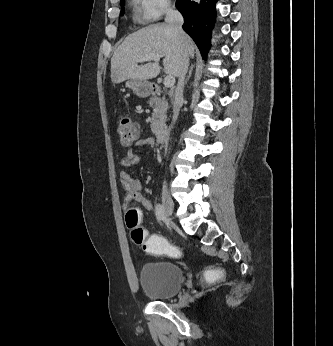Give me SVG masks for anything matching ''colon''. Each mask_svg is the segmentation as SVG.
I'll return each mask as SVG.
<instances>
[{"label":"colon","instance_id":"obj_1","mask_svg":"<svg viewBox=\"0 0 333 346\" xmlns=\"http://www.w3.org/2000/svg\"><path fill=\"white\" fill-rule=\"evenodd\" d=\"M118 136L121 145L124 147L135 144L138 139L137 124L132 119L123 117L119 122ZM140 222L141 212L139 208L135 204H130L127 207L125 223L131 230L132 240L143 247L144 254H148V256H169L173 260L183 259V254L178 252L182 248L180 244H167L166 242L170 241L169 235H148ZM203 275L207 276L208 280H222L225 270L216 269V266L212 265L211 269L203 270Z\"/></svg>","mask_w":333,"mask_h":346}]
</instances>
